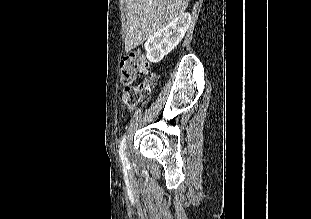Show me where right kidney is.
<instances>
[{"instance_id": "right-kidney-1", "label": "right kidney", "mask_w": 311, "mask_h": 219, "mask_svg": "<svg viewBox=\"0 0 311 219\" xmlns=\"http://www.w3.org/2000/svg\"><path fill=\"white\" fill-rule=\"evenodd\" d=\"M191 22V15L183 13L161 30L154 33L145 43L147 59L160 62L182 40Z\"/></svg>"}]
</instances>
